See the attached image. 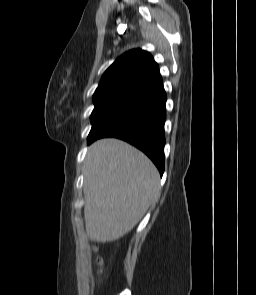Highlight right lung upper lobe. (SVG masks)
<instances>
[{
    "instance_id": "right-lung-upper-lobe-1",
    "label": "right lung upper lobe",
    "mask_w": 256,
    "mask_h": 295,
    "mask_svg": "<svg viewBox=\"0 0 256 295\" xmlns=\"http://www.w3.org/2000/svg\"><path fill=\"white\" fill-rule=\"evenodd\" d=\"M160 79L158 65L148 52L130 50L105 71L93 95L94 104L116 98H135Z\"/></svg>"
}]
</instances>
